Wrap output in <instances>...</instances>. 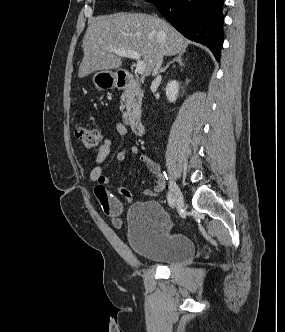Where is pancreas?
Wrapping results in <instances>:
<instances>
[{
  "mask_svg": "<svg viewBox=\"0 0 285 332\" xmlns=\"http://www.w3.org/2000/svg\"><path fill=\"white\" fill-rule=\"evenodd\" d=\"M121 101V111L126 109V111L123 113V116L125 118L132 116L134 113H139L141 111L142 104V91L140 90L138 84L136 86L134 94L125 92L121 97Z\"/></svg>",
  "mask_w": 285,
  "mask_h": 332,
  "instance_id": "pancreas-1",
  "label": "pancreas"
}]
</instances>
